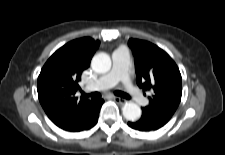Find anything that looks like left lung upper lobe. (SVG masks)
<instances>
[{"label":"left lung upper lobe","mask_w":225,"mask_h":155,"mask_svg":"<svg viewBox=\"0 0 225 155\" xmlns=\"http://www.w3.org/2000/svg\"><path fill=\"white\" fill-rule=\"evenodd\" d=\"M136 82L143 90H152L149 105L142 110L173 115L182 95L180 71L171 57L158 46L143 40L130 39Z\"/></svg>","instance_id":"1"}]
</instances>
